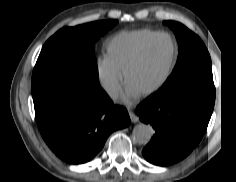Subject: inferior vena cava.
Masks as SVG:
<instances>
[{"label": "inferior vena cava", "mask_w": 236, "mask_h": 182, "mask_svg": "<svg viewBox=\"0 0 236 182\" xmlns=\"http://www.w3.org/2000/svg\"><path fill=\"white\" fill-rule=\"evenodd\" d=\"M103 88L107 91V93L112 97H117L120 87L118 82L111 81V80H105L102 83Z\"/></svg>", "instance_id": "1"}]
</instances>
